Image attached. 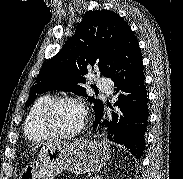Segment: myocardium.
<instances>
[{
  "mask_svg": "<svg viewBox=\"0 0 183 179\" xmlns=\"http://www.w3.org/2000/svg\"><path fill=\"white\" fill-rule=\"evenodd\" d=\"M69 102L78 106L82 112V121L80 125L69 133H57L50 129L48 126V118L53 109L60 103ZM89 121V114L85 104L76 97L73 96H57L53 97L42 109L39 116V128L48 137L55 139H71L79 135L87 126Z\"/></svg>",
  "mask_w": 183,
  "mask_h": 179,
  "instance_id": "1",
  "label": "myocardium"
}]
</instances>
